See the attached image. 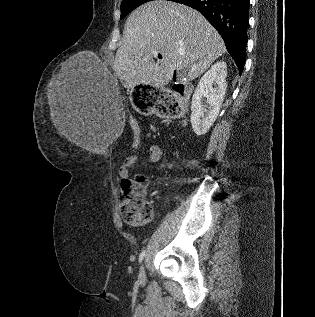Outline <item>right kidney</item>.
<instances>
[{"mask_svg": "<svg viewBox=\"0 0 315 317\" xmlns=\"http://www.w3.org/2000/svg\"><path fill=\"white\" fill-rule=\"evenodd\" d=\"M227 65L219 61L200 79L192 97L191 124L194 133L198 136L204 135L215 122L227 88ZM203 98L207 99L209 105L203 104Z\"/></svg>", "mask_w": 315, "mask_h": 317, "instance_id": "ca27d5eb", "label": "right kidney"}]
</instances>
